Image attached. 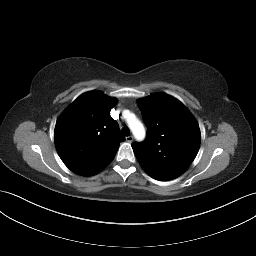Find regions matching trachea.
Listing matches in <instances>:
<instances>
[{
  "mask_svg": "<svg viewBox=\"0 0 256 256\" xmlns=\"http://www.w3.org/2000/svg\"><path fill=\"white\" fill-rule=\"evenodd\" d=\"M121 132H122V134L125 135V136H129V135H130V130H129L128 127H123V128L121 129Z\"/></svg>",
  "mask_w": 256,
  "mask_h": 256,
  "instance_id": "trachea-1",
  "label": "trachea"
}]
</instances>
